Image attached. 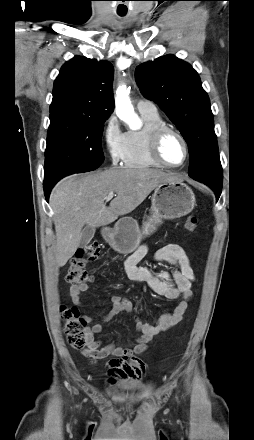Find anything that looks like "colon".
I'll return each instance as SVG.
<instances>
[{"mask_svg":"<svg viewBox=\"0 0 254 440\" xmlns=\"http://www.w3.org/2000/svg\"><path fill=\"white\" fill-rule=\"evenodd\" d=\"M198 226V218L189 215L185 221V228L195 231ZM101 252L100 244L91 242L79 248L71 260L66 281L72 285H81L91 280V275L84 269L87 262L95 260ZM64 321V333L72 348L83 349L87 343V319L80 314L76 307H62Z\"/></svg>","mask_w":254,"mask_h":440,"instance_id":"obj_1","label":"colon"}]
</instances>
